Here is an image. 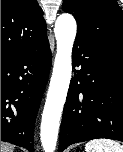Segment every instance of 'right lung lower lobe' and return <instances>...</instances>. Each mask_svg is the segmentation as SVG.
<instances>
[{"label":"right lung lower lobe","instance_id":"obj_1","mask_svg":"<svg viewBox=\"0 0 123 152\" xmlns=\"http://www.w3.org/2000/svg\"><path fill=\"white\" fill-rule=\"evenodd\" d=\"M51 66L47 36L1 56V141L34 151V125Z\"/></svg>","mask_w":123,"mask_h":152}]
</instances>
